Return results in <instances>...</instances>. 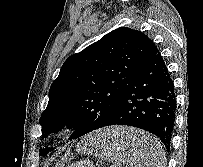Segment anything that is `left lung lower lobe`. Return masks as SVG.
<instances>
[{
  "label": "left lung lower lobe",
  "instance_id": "left-lung-lower-lobe-1",
  "mask_svg": "<svg viewBox=\"0 0 203 167\" xmlns=\"http://www.w3.org/2000/svg\"><path fill=\"white\" fill-rule=\"evenodd\" d=\"M174 83L157 47L134 71L123 89L116 111L100 126L128 125L156 135L170 150L175 125ZM109 148L124 147V141L110 138Z\"/></svg>",
  "mask_w": 203,
  "mask_h": 167
}]
</instances>
